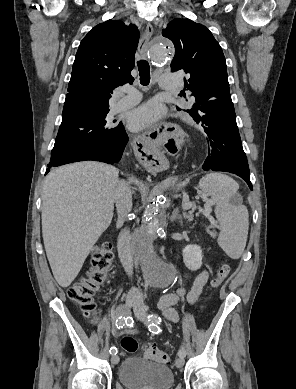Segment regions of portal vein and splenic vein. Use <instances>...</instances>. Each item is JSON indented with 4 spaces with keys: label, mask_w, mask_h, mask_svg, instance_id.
<instances>
[{
    "label": "portal vein and splenic vein",
    "mask_w": 296,
    "mask_h": 389,
    "mask_svg": "<svg viewBox=\"0 0 296 389\" xmlns=\"http://www.w3.org/2000/svg\"><path fill=\"white\" fill-rule=\"evenodd\" d=\"M191 208H193V204L191 203V202H189V200H187L183 205H182V209L183 210H188V209H191ZM203 214L205 215V216H209V214H210V209H205L204 211H203Z\"/></svg>",
    "instance_id": "obj_1"
}]
</instances>
